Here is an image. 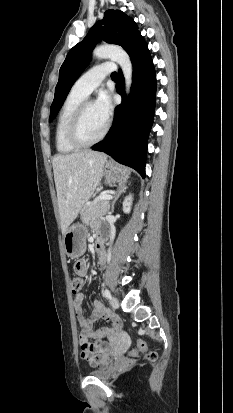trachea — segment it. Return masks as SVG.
Wrapping results in <instances>:
<instances>
[{
    "label": "trachea",
    "instance_id": "trachea-1",
    "mask_svg": "<svg viewBox=\"0 0 233 413\" xmlns=\"http://www.w3.org/2000/svg\"><path fill=\"white\" fill-rule=\"evenodd\" d=\"M111 77H118V74H117L116 72H113V73L111 74Z\"/></svg>",
    "mask_w": 233,
    "mask_h": 413
}]
</instances>
